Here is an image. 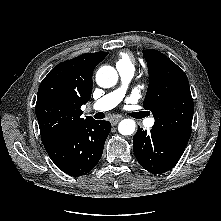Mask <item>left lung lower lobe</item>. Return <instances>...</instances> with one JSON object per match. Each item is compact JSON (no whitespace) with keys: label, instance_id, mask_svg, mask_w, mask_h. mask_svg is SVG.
Returning a JSON list of instances; mask_svg holds the SVG:
<instances>
[{"label":"left lung lower lobe","instance_id":"1","mask_svg":"<svg viewBox=\"0 0 221 221\" xmlns=\"http://www.w3.org/2000/svg\"><path fill=\"white\" fill-rule=\"evenodd\" d=\"M133 143L134 154L139 164L154 174L172 169L187 145V142L172 139L153 128L147 133L140 127L133 137Z\"/></svg>","mask_w":221,"mask_h":221}]
</instances>
